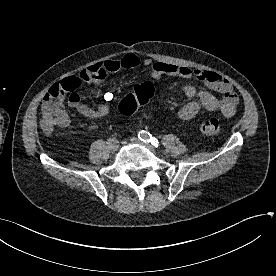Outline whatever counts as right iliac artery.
<instances>
[{
  "label": "right iliac artery",
  "mask_w": 276,
  "mask_h": 276,
  "mask_svg": "<svg viewBox=\"0 0 276 276\" xmlns=\"http://www.w3.org/2000/svg\"><path fill=\"white\" fill-rule=\"evenodd\" d=\"M107 144L108 145L118 144V141L115 138H109L108 141H107Z\"/></svg>",
  "instance_id": "obj_1"
}]
</instances>
